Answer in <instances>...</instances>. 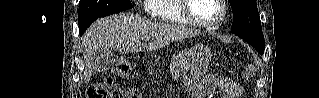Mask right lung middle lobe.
Masks as SVG:
<instances>
[{
  "label": "right lung middle lobe",
  "instance_id": "dd1d6c3e",
  "mask_svg": "<svg viewBox=\"0 0 319 98\" xmlns=\"http://www.w3.org/2000/svg\"><path fill=\"white\" fill-rule=\"evenodd\" d=\"M131 8L130 0H80L78 23Z\"/></svg>",
  "mask_w": 319,
  "mask_h": 98
}]
</instances>
